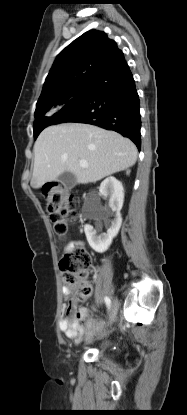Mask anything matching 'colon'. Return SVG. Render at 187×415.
I'll use <instances>...</instances> for the list:
<instances>
[{
    "instance_id": "obj_1",
    "label": "colon",
    "mask_w": 187,
    "mask_h": 415,
    "mask_svg": "<svg viewBox=\"0 0 187 415\" xmlns=\"http://www.w3.org/2000/svg\"><path fill=\"white\" fill-rule=\"evenodd\" d=\"M44 195L54 231L64 237L79 222L73 191L63 183L53 181L44 186ZM90 264L91 258L83 248L70 250L60 261L70 293L78 300L87 299L92 293V286L84 276Z\"/></svg>"
}]
</instances>
